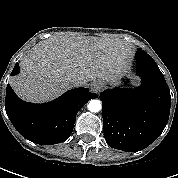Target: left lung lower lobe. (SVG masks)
Listing matches in <instances>:
<instances>
[{
  "label": "left lung lower lobe",
  "instance_id": "left-lung-lower-lobe-1",
  "mask_svg": "<svg viewBox=\"0 0 178 178\" xmlns=\"http://www.w3.org/2000/svg\"><path fill=\"white\" fill-rule=\"evenodd\" d=\"M136 62L140 87L108 89L100 94L105 140L126 152L143 150L154 142L170 113V90L156 62L147 53L136 55Z\"/></svg>",
  "mask_w": 178,
  "mask_h": 178
}]
</instances>
